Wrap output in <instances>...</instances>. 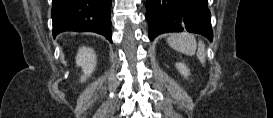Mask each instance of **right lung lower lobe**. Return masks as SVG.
I'll list each match as a JSON object with an SVG mask.
<instances>
[{
	"label": "right lung lower lobe",
	"mask_w": 273,
	"mask_h": 118,
	"mask_svg": "<svg viewBox=\"0 0 273 118\" xmlns=\"http://www.w3.org/2000/svg\"><path fill=\"white\" fill-rule=\"evenodd\" d=\"M112 0H53V37L63 31H90L112 42Z\"/></svg>",
	"instance_id": "obj_1"
}]
</instances>
